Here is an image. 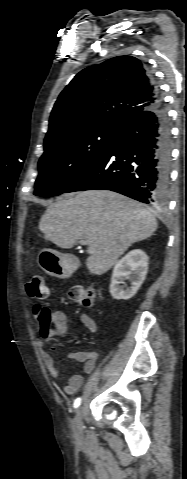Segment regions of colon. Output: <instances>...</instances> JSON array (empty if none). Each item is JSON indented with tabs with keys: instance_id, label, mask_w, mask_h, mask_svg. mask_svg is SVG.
Wrapping results in <instances>:
<instances>
[{
	"instance_id": "colon-1",
	"label": "colon",
	"mask_w": 187,
	"mask_h": 479,
	"mask_svg": "<svg viewBox=\"0 0 187 479\" xmlns=\"http://www.w3.org/2000/svg\"><path fill=\"white\" fill-rule=\"evenodd\" d=\"M28 295L34 299H45L48 295L44 277L40 274L33 275L26 284ZM68 299L86 308L93 306L95 301V290L81 285L73 286L67 293ZM34 317L38 324V333L42 338L54 336L56 324L51 311L42 306L34 307Z\"/></svg>"
}]
</instances>
